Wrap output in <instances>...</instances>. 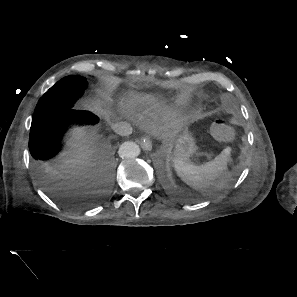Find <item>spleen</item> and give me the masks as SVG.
Listing matches in <instances>:
<instances>
[{
  "label": "spleen",
  "instance_id": "obj_1",
  "mask_svg": "<svg viewBox=\"0 0 297 297\" xmlns=\"http://www.w3.org/2000/svg\"><path fill=\"white\" fill-rule=\"evenodd\" d=\"M230 152L231 148L227 147L212 161L202 165H195L190 160L175 159L174 168L182 181L192 188H217L223 183Z\"/></svg>",
  "mask_w": 297,
  "mask_h": 297
}]
</instances>
